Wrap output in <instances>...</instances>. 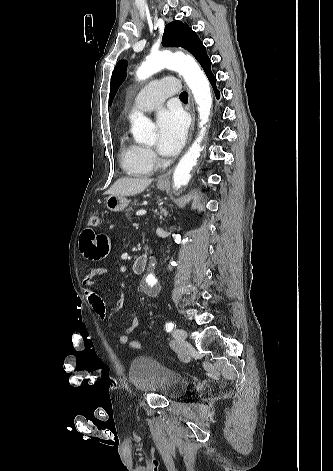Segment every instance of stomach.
<instances>
[{"label": "stomach", "instance_id": "obj_1", "mask_svg": "<svg viewBox=\"0 0 333 471\" xmlns=\"http://www.w3.org/2000/svg\"><path fill=\"white\" fill-rule=\"evenodd\" d=\"M168 184L157 183L159 190H165ZM106 207L111 212H121L129 204V200L125 196L110 194L105 201Z\"/></svg>", "mask_w": 333, "mask_h": 471}]
</instances>
